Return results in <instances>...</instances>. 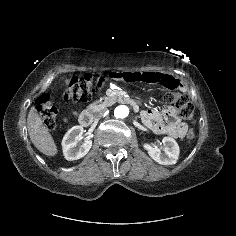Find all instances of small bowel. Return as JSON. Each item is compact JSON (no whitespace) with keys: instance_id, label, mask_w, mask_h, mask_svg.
<instances>
[{"instance_id":"obj_1","label":"small bowel","mask_w":236,"mask_h":236,"mask_svg":"<svg viewBox=\"0 0 236 236\" xmlns=\"http://www.w3.org/2000/svg\"><path fill=\"white\" fill-rule=\"evenodd\" d=\"M118 83L140 82L155 84L165 88H182L180 82L174 77L158 71L136 72L134 69H127L124 72L118 69H109L107 74L99 75L95 79V86L99 90H106L110 81ZM143 123L154 133L164 134L174 138H183L187 132V126L183 123L173 108L165 111L144 110L141 113Z\"/></svg>"}]
</instances>
